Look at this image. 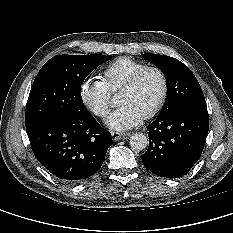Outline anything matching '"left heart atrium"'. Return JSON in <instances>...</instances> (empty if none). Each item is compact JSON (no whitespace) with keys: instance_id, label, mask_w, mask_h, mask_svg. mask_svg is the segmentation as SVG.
Segmentation results:
<instances>
[{"instance_id":"left-heart-atrium-1","label":"left heart atrium","mask_w":233,"mask_h":233,"mask_svg":"<svg viewBox=\"0 0 233 233\" xmlns=\"http://www.w3.org/2000/svg\"><path fill=\"white\" fill-rule=\"evenodd\" d=\"M143 116L131 105L123 104L106 120V124L116 130H126L138 125Z\"/></svg>"}]
</instances>
